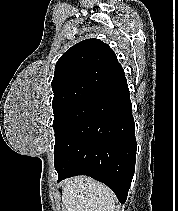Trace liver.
Returning <instances> with one entry per match:
<instances>
[{"instance_id":"1","label":"liver","mask_w":178,"mask_h":211,"mask_svg":"<svg viewBox=\"0 0 178 211\" xmlns=\"http://www.w3.org/2000/svg\"><path fill=\"white\" fill-rule=\"evenodd\" d=\"M60 186L66 211H114V193L92 178L77 176L63 181Z\"/></svg>"}]
</instances>
